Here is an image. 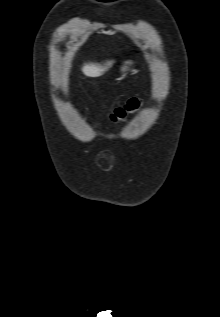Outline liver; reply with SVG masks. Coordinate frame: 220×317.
Wrapping results in <instances>:
<instances>
[{
  "mask_svg": "<svg viewBox=\"0 0 220 317\" xmlns=\"http://www.w3.org/2000/svg\"><path fill=\"white\" fill-rule=\"evenodd\" d=\"M113 63L114 61H108L104 65L95 64V63L85 64L82 67V72L84 73V75L88 77H99L103 73H105L113 65Z\"/></svg>",
  "mask_w": 220,
  "mask_h": 317,
  "instance_id": "obj_1",
  "label": "liver"
}]
</instances>
